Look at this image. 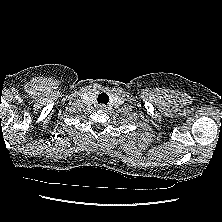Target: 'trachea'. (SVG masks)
<instances>
[{"label": "trachea", "instance_id": "trachea-1", "mask_svg": "<svg viewBox=\"0 0 222 222\" xmlns=\"http://www.w3.org/2000/svg\"><path fill=\"white\" fill-rule=\"evenodd\" d=\"M98 103L107 104L109 101V97L106 93L99 94L97 98Z\"/></svg>", "mask_w": 222, "mask_h": 222}]
</instances>
